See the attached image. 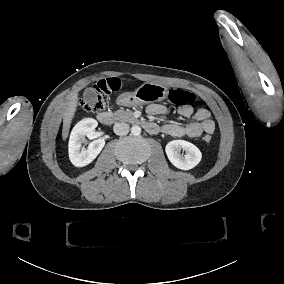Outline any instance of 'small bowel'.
Listing matches in <instances>:
<instances>
[{"mask_svg":"<svg viewBox=\"0 0 284 284\" xmlns=\"http://www.w3.org/2000/svg\"><path fill=\"white\" fill-rule=\"evenodd\" d=\"M147 113L152 116L164 115L168 113V108L161 104H151L147 107ZM177 114L181 118H192L193 121L188 124L170 122L163 125L147 122L145 128L150 133L160 130L175 138H196L203 133L211 135L215 130V122L211 119V114L206 108L194 110L191 106L185 105L178 108Z\"/></svg>","mask_w":284,"mask_h":284,"instance_id":"c3829d8e","label":"small bowel"}]
</instances>
